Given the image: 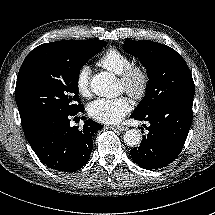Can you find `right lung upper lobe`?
Segmentation results:
<instances>
[{"mask_svg":"<svg viewBox=\"0 0 215 215\" xmlns=\"http://www.w3.org/2000/svg\"><path fill=\"white\" fill-rule=\"evenodd\" d=\"M75 41H79V40H61V41H56V42H51V43H45V44H42V45L36 47L25 58L18 74H21L22 72L37 65L39 62H41L45 57H47L57 48L65 45V44L75 42Z\"/></svg>","mask_w":215,"mask_h":215,"instance_id":"1","label":"right lung upper lobe"}]
</instances>
